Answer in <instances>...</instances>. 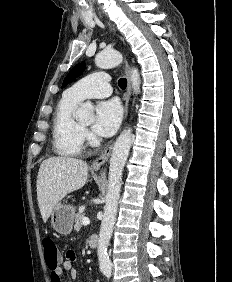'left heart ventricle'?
Instances as JSON below:
<instances>
[{
  "instance_id": "obj_1",
  "label": "left heart ventricle",
  "mask_w": 232,
  "mask_h": 282,
  "mask_svg": "<svg viewBox=\"0 0 232 282\" xmlns=\"http://www.w3.org/2000/svg\"><path fill=\"white\" fill-rule=\"evenodd\" d=\"M81 124L84 125V126H87L88 122L87 121H82Z\"/></svg>"
}]
</instances>
